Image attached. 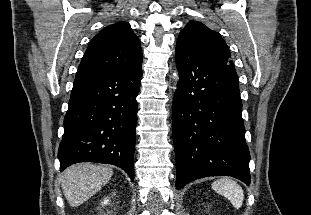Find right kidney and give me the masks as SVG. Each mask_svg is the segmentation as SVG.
<instances>
[{"label":"right kidney","instance_id":"1","mask_svg":"<svg viewBox=\"0 0 311 215\" xmlns=\"http://www.w3.org/2000/svg\"><path fill=\"white\" fill-rule=\"evenodd\" d=\"M108 203V200L107 199H105L103 202H102V204H104V205H106Z\"/></svg>","mask_w":311,"mask_h":215}]
</instances>
